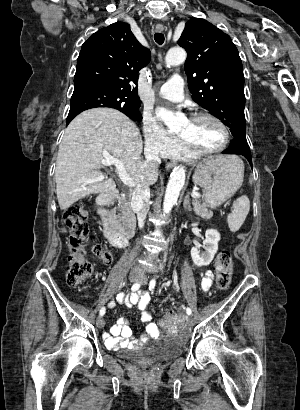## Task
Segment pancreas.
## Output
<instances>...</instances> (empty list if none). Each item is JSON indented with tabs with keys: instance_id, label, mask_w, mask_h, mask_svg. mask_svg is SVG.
I'll return each mask as SVG.
<instances>
[{
	"instance_id": "pancreas-1",
	"label": "pancreas",
	"mask_w": 300,
	"mask_h": 410,
	"mask_svg": "<svg viewBox=\"0 0 300 410\" xmlns=\"http://www.w3.org/2000/svg\"><path fill=\"white\" fill-rule=\"evenodd\" d=\"M194 210L197 215L204 219H210L213 216L211 211H208L206 208V204L201 203L199 200L195 199L193 201ZM120 215L118 216L119 220V231L128 235L131 229L134 227L135 223V216L131 210L130 203L128 201H121L119 206Z\"/></svg>"
}]
</instances>
